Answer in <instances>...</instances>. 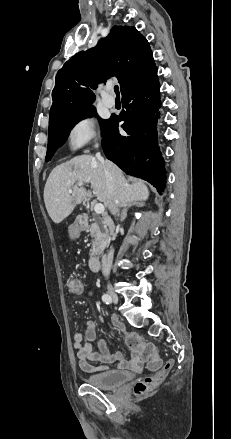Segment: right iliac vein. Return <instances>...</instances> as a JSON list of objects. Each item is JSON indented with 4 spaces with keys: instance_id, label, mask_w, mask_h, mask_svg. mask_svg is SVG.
<instances>
[{
    "instance_id": "63e3f726",
    "label": "right iliac vein",
    "mask_w": 231,
    "mask_h": 439,
    "mask_svg": "<svg viewBox=\"0 0 231 439\" xmlns=\"http://www.w3.org/2000/svg\"><path fill=\"white\" fill-rule=\"evenodd\" d=\"M107 292H108V295L111 297L112 301L114 303H117L118 302V295L115 292V290L111 286H108Z\"/></svg>"
}]
</instances>
